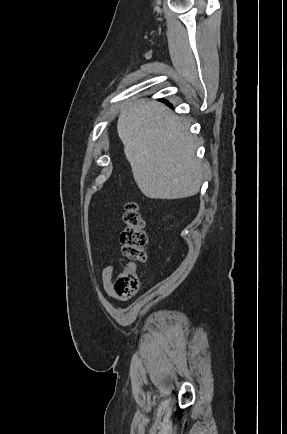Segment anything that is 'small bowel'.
<instances>
[{"label":"small bowel","mask_w":287,"mask_h":434,"mask_svg":"<svg viewBox=\"0 0 287 434\" xmlns=\"http://www.w3.org/2000/svg\"><path fill=\"white\" fill-rule=\"evenodd\" d=\"M114 267L111 265L104 266L101 270V283L102 287L107 295L110 297H116L113 289V278Z\"/></svg>","instance_id":"obj_1"}]
</instances>
